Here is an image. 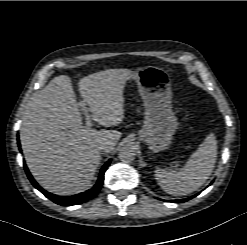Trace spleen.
Returning a JSON list of instances; mask_svg holds the SVG:
<instances>
[{
  "instance_id": "obj_1",
  "label": "spleen",
  "mask_w": 247,
  "mask_h": 245,
  "mask_svg": "<svg viewBox=\"0 0 247 245\" xmlns=\"http://www.w3.org/2000/svg\"><path fill=\"white\" fill-rule=\"evenodd\" d=\"M217 158V141L209 134L188 162L178 170L156 168L155 179L160 187L171 195H186L200 188L213 172Z\"/></svg>"
}]
</instances>
